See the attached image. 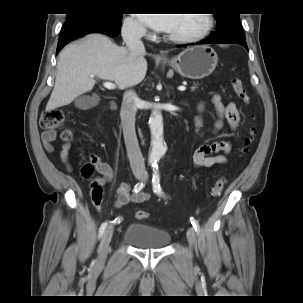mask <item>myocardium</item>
I'll use <instances>...</instances> for the list:
<instances>
[{"instance_id":"f54148a6","label":"myocardium","mask_w":303,"mask_h":303,"mask_svg":"<svg viewBox=\"0 0 303 303\" xmlns=\"http://www.w3.org/2000/svg\"><path fill=\"white\" fill-rule=\"evenodd\" d=\"M205 16V26L198 32L186 35L167 34V38L174 42H193L205 37L213 28L214 18L212 14H203Z\"/></svg>"}]
</instances>
